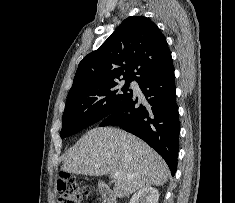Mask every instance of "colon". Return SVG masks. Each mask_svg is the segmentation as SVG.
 I'll list each match as a JSON object with an SVG mask.
<instances>
[{"label": "colon", "instance_id": "1", "mask_svg": "<svg viewBox=\"0 0 235 203\" xmlns=\"http://www.w3.org/2000/svg\"><path fill=\"white\" fill-rule=\"evenodd\" d=\"M57 192V203H81L82 196L90 193L88 188L81 190L69 174L60 176L57 181Z\"/></svg>", "mask_w": 235, "mask_h": 203}]
</instances>
